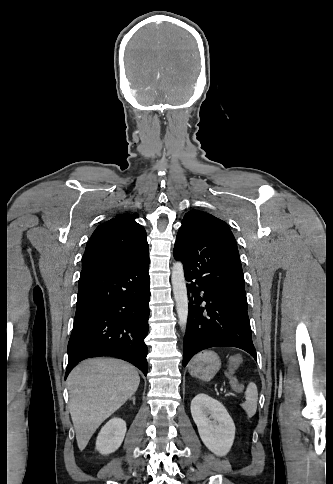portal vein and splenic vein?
I'll return each mask as SVG.
<instances>
[{
  "label": "portal vein and splenic vein",
  "instance_id": "portal-vein-and-splenic-vein-1",
  "mask_svg": "<svg viewBox=\"0 0 333 484\" xmlns=\"http://www.w3.org/2000/svg\"><path fill=\"white\" fill-rule=\"evenodd\" d=\"M220 390L224 391L225 396H229V397L235 396L233 393H231L230 391H227L226 389L221 388Z\"/></svg>",
  "mask_w": 333,
  "mask_h": 484
}]
</instances>
